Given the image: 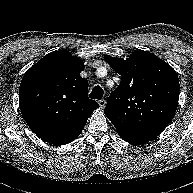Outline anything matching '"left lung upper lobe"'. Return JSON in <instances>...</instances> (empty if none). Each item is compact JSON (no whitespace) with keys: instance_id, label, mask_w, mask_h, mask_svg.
Here are the masks:
<instances>
[{"instance_id":"obj_1","label":"left lung upper lobe","mask_w":193,"mask_h":193,"mask_svg":"<svg viewBox=\"0 0 193 193\" xmlns=\"http://www.w3.org/2000/svg\"><path fill=\"white\" fill-rule=\"evenodd\" d=\"M105 61L122 77L104 109L118 134L158 136L178 106L176 71L153 53L142 50L126 60L106 55Z\"/></svg>"}]
</instances>
